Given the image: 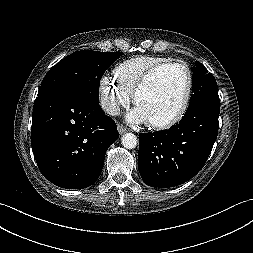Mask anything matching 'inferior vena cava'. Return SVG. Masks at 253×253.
Returning <instances> with one entry per match:
<instances>
[{
    "mask_svg": "<svg viewBox=\"0 0 253 253\" xmlns=\"http://www.w3.org/2000/svg\"><path fill=\"white\" fill-rule=\"evenodd\" d=\"M102 108L109 115L117 116L120 114V107L114 101L107 100V101L102 102Z\"/></svg>",
    "mask_w": 253,
    "mask_h": 253,
    "instance_id": "inferior-vena-cava-1",
    "label": "inferior vena cava"
}]
</instances>
